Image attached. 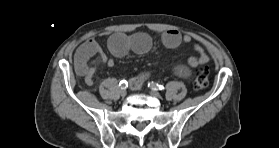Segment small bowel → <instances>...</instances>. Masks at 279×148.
<instances>
[{
	"label": "small bowel",
	"instance_id": "1",
	"mask_svg": "<svg viewBox=\"0 0 279 148\" xmlns=\"http://www.w3.org/2000/svg\"><path fill=\"white\" fill-rule=\"evenodd\" d=\"M161 40L163 45L167 48H176L182 42L190 43L192 37L188 34L182 35L177 30H167L163 32ZM151 45L152 40L150 36L143 32L131 35L116 33L108 39L109 51L115 57H122L129 51H133L137 54H144L149 51ZM193 47L196 55L190 57L186 65H180L175 68V73L180 77H190L193 69L199 65L206 64L209 61V56L202 46L194 44ZM94 56H97L98 59L105 63L109 68H113L115 65L113 59L106 57L96 39L90 38L82 43L75 52L74 64L76 73L84 78L87 85L93 83L95 68L90 64V60ZM149 77L150 73L147 71L139 73L129 81L130 88L133 90L139 89Z\"/></svg>",
	"mask_w": 279,
	"mask_h": 148
}]
</instances>
